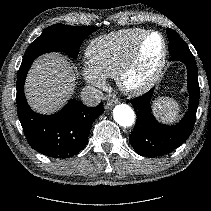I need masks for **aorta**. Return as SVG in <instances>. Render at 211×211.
<instances>
[{
	"label": "aorta",
	"instance_id": "obj_1",
	"mask_svg": "<svg viewBox=\"0 0 211 211\" xmlns=\"http://www.w3.org/2000/svg\"><path fill=\"white\" fill-rule=\"evenodd\" d=\"M114 120L123 127H130L135 122V113L127 104H118L113 110Z\"/></svg>",
	"mask_w": 211,
	"mask_h": 211
}]
</instances>
